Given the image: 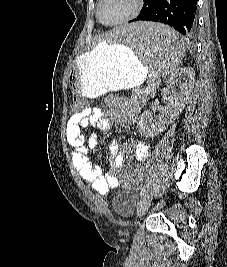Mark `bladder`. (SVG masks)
I'll use <instances>...</instances> for the list:
<instances>
[{
    "mask_svg": "<svg viewBox=\"0 0 227 267\" xmlns=\"http://www.w3.org/2000/svg\"><path fill=\"white\" fill-rule=\"evenodd\" d=\"M112 206L117 215L128 216L134 210L133 197L131 194L120 193L113 198Z\"/></svg>",
    "mask_w": 227,
    "mask_h": 267,
    "instance_id": "31cf9c89",
    "label": "bladder"
}]
</instances>
